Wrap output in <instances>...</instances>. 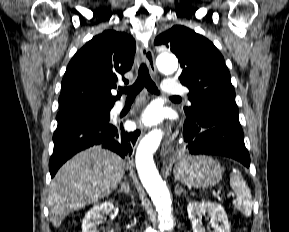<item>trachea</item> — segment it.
Instances as JSON below:
<instances>
[{
	"label": "trachea",
	"instance_id": "trachea-1",
	"mask_svg": "<svg viewBox=\"0 0 289 232\" xmlns=\"http://www.w3.org/2000/svg\"><path fill=\"white\" fill-rule=\"evenodd\" d=\"M146 88L149 92L154 94H160L156 84L150 77L149 70L145 63H142L139 67L138 77L132 86L120 88L121 93H126L128 99H133L140 93L143 88ZM172 98H179L173 96Z\"/></svg>",
	"mask_w": 289,
	"mask_h": 232
}]
</instances>
